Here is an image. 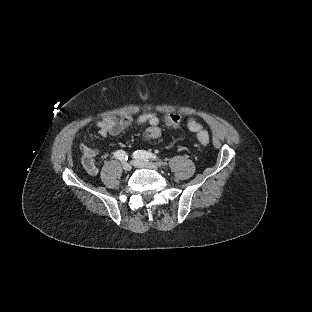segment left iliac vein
I'll return each mask as SVG.
<instances>
[{
	"instance_id": "1",
	"label": "left iliac vein",
	"mask_w": 312,
	"mask_h": 312,
	"mask_svg": "<svg viewBox=\"0 0 312 312\" xmlns=\"http://www.w3.org/2000/svg\"><path fill=\"white\" fill-rule=\"evenodd\" d=\"M133 165L139 168H150V169H158L159 166L153 162L142 161L139 159H134L132 161Z\"/></svg>"
}]
</instances>
